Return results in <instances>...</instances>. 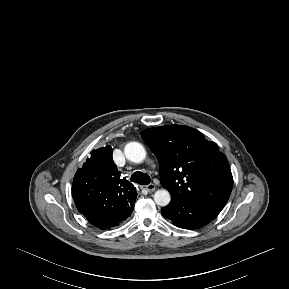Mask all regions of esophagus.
Returning <instances> with one entry per match:
<instances>
[{
  "label": "esophagus",
  "instance_id": "esophagus-1",
  "mask_svg": "<svg viewBox=\"0 0 289 289\" xmlns=\"http://www.w3.org/2000/svg\"><path fill=\"white\" fill-rule=\"evenodd\" d=\"M145 189H146L148 192H153V191H155L156 186H155L154 184H148L147 186H145Z\"/></svg>",
  "mask_w": 289,
  "mask_h": 289
}]
</instances>
